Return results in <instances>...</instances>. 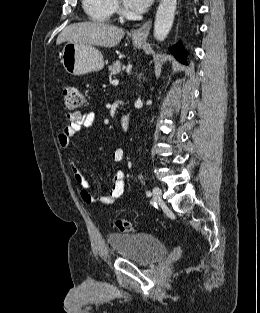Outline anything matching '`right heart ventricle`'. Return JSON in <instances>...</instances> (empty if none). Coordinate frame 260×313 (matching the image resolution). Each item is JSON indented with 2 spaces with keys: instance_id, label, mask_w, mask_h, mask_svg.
I'll use <instances>...</instances> for the list:
<instances>
[{
  "instance_id": "right-heart-ventricle-1",
  "label": "right heart ventricle",
  "mask_w": 260,
  "mask_h": 313,
  "mask_svg": "<svg viewBox=\"0 0 260 313\" xmlns=\"http://www.w3.org/2000/svg\"><path fill=\"white\" fill-rule=\"evenodd\" d=\"M83 7L88 16L97 22H107L115 10L114 0H83Z\"/></svg>"
}]
</instances>
